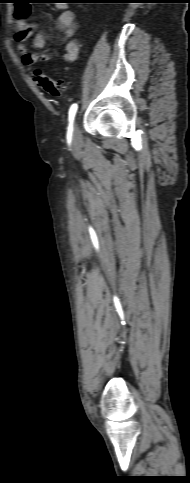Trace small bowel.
Listing matches in <instances>:
<instances>
[{
  "label": "small bowel",
  "instance_id": "c3829d8e",
  "mask_svg": "<svg viewBox=\"0 0 190 483\" xmlns=\"http://www.w3.org/2000/svg\"><path fill=\"white\" fill-rule=\"evenodd\" d=\"M29 11L30 8L28 7L26 10L27 15L29 14ZM16 12L15 15L17 14ZM56 25L62 30L63 38L66 41L64 46L63 60L68 63L74 62L78 56V44L74 39L77 32V23L74 13L69 9L61 10L57 15ZM34 28L35 27L33 25H30L25 21V18L16 19L15 42L17 51L23 64L28 67H32L37 63L46 61L51 57V54L49 53L39 54L30 52L28 50L26 41L29 37H31ZM46 39V34L39 32L33 36L32 43L37 49H42L45 46Z\"/></svg>",
  "mask_w": 190,
  "mask_h": 483
}]
</instances>
